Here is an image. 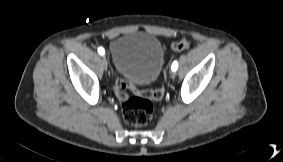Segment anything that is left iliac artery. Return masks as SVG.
Returning <instances> with one entry per match:
<instances>
[{
	"mask_svg": "<svg viewBox=\"0 0 283 162\" xmlns=\"http://www.w3.org/2000/svg\"><path fill=\"white\" fill-rule=\"evenodd\" d=\"M172 71H176L178 69V62L174 61L171 66Z\"/></svg>",
	"mask_w": 283,
	"mask_h": 162,
	"instance_id": "1",
	"label": "left iliac artery"
}]
</instances>
